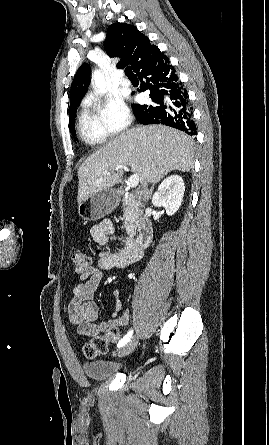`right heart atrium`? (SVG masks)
<instances>
[{
  "label": "right heart atrium",
  "mask_w": 269,
  "mask_h": 445,
  "mask_svg": "<svg viewBox=\"0 0 269 445\" xmlns=\"http://www.w3.org/2000/svg\"><path fill=\"white\" fill-rule=\"evenodd\" d=\"M88 104L98 122L110 135L124 131L131 123L132 116L128 106L117 96H92Z\"/></svg>",
  "instance_id": "right-heart-atrium-1"
}]
</instances>
